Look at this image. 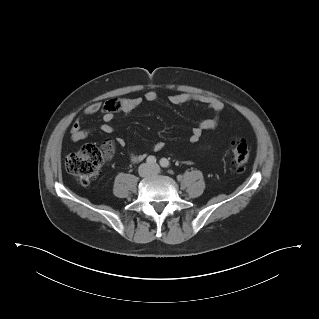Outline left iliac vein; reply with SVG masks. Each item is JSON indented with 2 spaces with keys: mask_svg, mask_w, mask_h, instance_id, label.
Wrapping results in <instances>:
<instances>
[{
  "mask_svg": "<svg viewBox=\"0 0 319 319\" xmlns=\"http://www.w3.org/2000/svg\"><path fill=\"white\" fill-rule=\"evenodd\" d=\"M160 172L161 170L157 164L152 165V174H159Z\"/></svg>",
  "mask_w": 319,
  "mask_h": 319,
  "instance_id": "left-iliac-vein-1",
  "label": "left iliac vein"
}]
</instances>
